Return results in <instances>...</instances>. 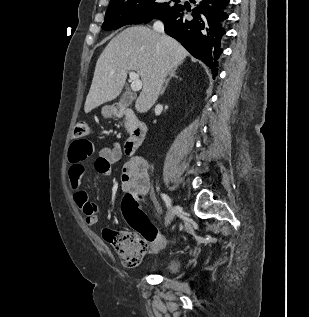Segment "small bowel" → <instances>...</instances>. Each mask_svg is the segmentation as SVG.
<instances>
[{"label": "small bowel", "mask_w": 309, "mask_h": 317, "mask_svg": "<svg viewBox=\"0 0 309 317\" xmlns=\"http://www.w3.org/2000/svg\"><path fill=\"white\" fill-rule=\"evenodd\" d=\"M75 153L79 158H69L68 182L73 191V200L78 208L85 215V221L89 226H95L98 222V205L89 198L85 189L81 188L82 179L85 173V161L92 151L88 153L87 143L79 145ZM122 157V149L118 143L112 146H104L98 152L95 160V170L104 176H110L111 165L118 162ZM148 163L142 157H133L127 161L120 177V186L128 194H146L149 192L150 180ZM157 248V247H155Z\"/></svg>", "instance_id": "obj_1"}]
</instances>
